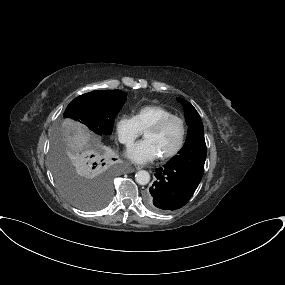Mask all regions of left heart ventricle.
Instances as JSON below:
<instances>
[{"label": "left heart ventricle", "instance_id": "1", "mask_svg": "<svg viewBox=\"0 0 285 285\" xmlns=\"http://www.w3.org/2000/svg\"><path fill=\"white\" fill-rule=\"evenodd\" d=\"M182 134L181 124L173 120L157 132H146L144 138L156 148L158 155L171 152L179 143Z\"/></svg>", "mask_w": 285, "mask_h": 285}]
</instances>
